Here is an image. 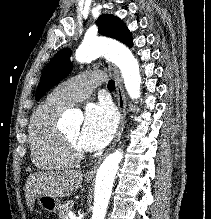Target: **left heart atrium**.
Here are the masks:
<instances>
[{"label":"left heart atrium","mask_w":211,"mask_h":219,"mask_svg":"<svg viewBox=\"0 0 211 219\" xmlns=\"http://www.w3.org/2000/svg\"><path fill=\"white\" fill-rule=\"evenodd\" d=\"M117 126V118L108 104L90 105L85 112L79 143L88 151L105 147L111 140Z\"/></svg>","instance_id":"obj_1"}]
</instances>
